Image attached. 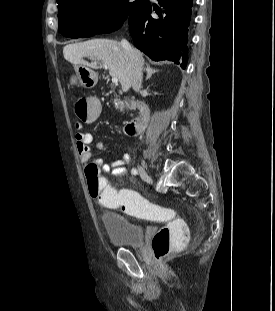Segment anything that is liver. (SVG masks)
Wrapping results in <instances>:
<instances>
[{
    "mask_svg": "<svg viewBox=\"0 0 275 311\" xmlns=\"http://www.w3.org/2000/svg\"><path fill=\"white\" fill-rule=\"evenodd\" d=\"M134 51L142 57L140 51ZM64 58L73 65H82L95 68L93 63L83 58L102 61L112 77H117L122 90L127 92L132 86L133 73L130 58L121 43L107 39H92L81 43L66 45L63 48Z\"/></svg>",
    "mask_w": 275,
    "mask_h": 311,
    "instance_id": "obj_1",
    "label": "liver"
}]
</instances>
